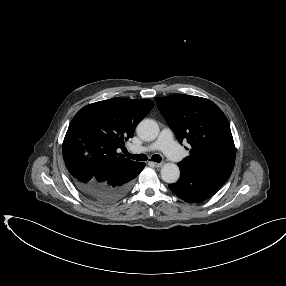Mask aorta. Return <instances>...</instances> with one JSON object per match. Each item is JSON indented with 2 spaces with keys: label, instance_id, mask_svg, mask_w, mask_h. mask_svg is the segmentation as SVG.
Masks as SVG:
<instances>
[{
  "label": "aorta",
  "instance_id": "aorta-1",
  "mask_svg": "<svg viewBox=\"0 0 286 286\" xmlns=\"http://www.w3.org/2000/svg\"><path fill=\"white\" fill-rule=\"evenodd\" d=\"M138 136L145 141L155 140L159 134V126L152 119H143L137 126ZM161 178L166 183H175L180 177L179 167L174 163H165L161 168Z\"/></svg>",
  "mask_w": 286,
  "mask_h": 286
}]
</instances>
